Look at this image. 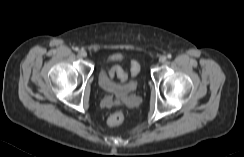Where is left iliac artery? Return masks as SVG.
I'll return each instance as SVG.
<instances>
[{
	"mask_svg": "<svg viewBox=\"0 0 244 157\" xmlns=\"http://www.w3.org/2000/svg\"><path fill=\"white\" fill-rule=\"evenodd\" d=\"M167 57L170 59V58H172V55L171 54H168Z\"/></svg>",
	"mask_w": 244,
	"mask_h": 157,
	"instance_id": "1",
	"label": "left iliac artery"
}]
</instances>
